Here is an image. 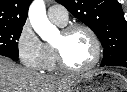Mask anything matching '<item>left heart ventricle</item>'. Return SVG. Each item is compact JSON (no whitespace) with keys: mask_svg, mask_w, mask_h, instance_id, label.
I'll list each match as a JSON object with an SVG mask.
<instances>
[{"mask_svg":"<svg viewBox=\"0 0 127 92\" xmlns=\"http://www.w3.org/2000/svg\"><path fill=\"white\" fill-rule=\"evenodd\" d=\"M54 44L61 47L66 62L73 68H83L93 59L94 45L84 30H76L65 37L59 33Z\"/></svg>","mask_w":127,"mask_h":92,"instance_id":"b2bd125f","label":"left heart ventricle"}]
</instances>
